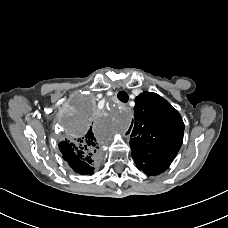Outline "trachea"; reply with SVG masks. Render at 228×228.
Masks as SVG:
<instances>
[{
    "instance_id": "3493384b",
    "label": "trachea",
    "mask_w": 228,
    "mask_h": 228,
    "mask_svg": "<svg viewBox=\"0 0 228 228\" xmlns=\"http://www.w3.org/2000/svg\"><path fill=\"white\" fill-rule=\"evenodd\" d=\"M118 99L123 102V103H127L129 100L128 94L125 91H120L117 94Z\"/></svg>"
}]
</instances>
